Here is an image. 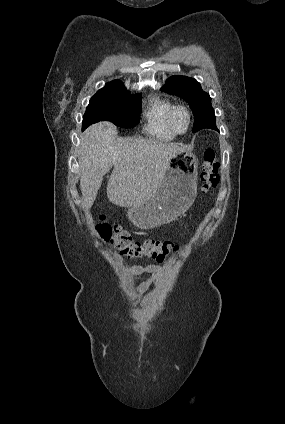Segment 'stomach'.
<instances>
[{
  "label": "stomach",
  "mask_w": 285,
  "mask_h": 424,
  "mask_svg": "<svg viewBox=\"0 0 285 424\" xmlns=\"http://www.w3.org/2000/svg\"><path fill=\"white\" fill-rule=\"evenodd\" d=\"M198 160L180 152L169 162L156 193L141 204L128 207L129 220L141 229L167 224L185 213L197 195Z\"/></svg>",
  "instance_id": "stomach-1"
}]
</instances>
